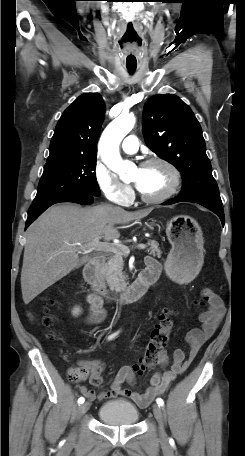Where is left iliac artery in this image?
Returning <instances> with one entry per match:
<instances>
[{"mask_svg": "<svg viewBox=\"0 0 245 456\" xmlns=\"http://www.w3.org/2000/svg\"><path fill=\"white\" fill-rule=\"evenodd\" d=\"M156 402H157V404H158L159 406H161V407L164 405V401H163V399H161V398H157Z\"/></svg>", "mask_w": 245, "mask_h": 456, "instance_id": "44dca946", "label": "left iliac artery"}]
</instances>
